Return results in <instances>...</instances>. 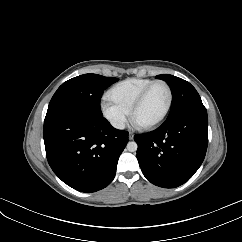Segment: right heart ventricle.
Wrapping results in <instances>:
<instances>
[{"label": "right heart ventricle", "instance_id": "1", "mask_svg": "<svg viewBox=\"0 0 242 242\" xmlns=\"http://www.w3.org/2000/svg\"><path fill=\"white\" fill-rule=\"evenodd\" d=\"M148 78H129L117 85L109 91L110 99L130 112L131 107L140 93L153 82Z\"/></svg>", "mask_w": 242, "mask_h": 242}]
</instances>
